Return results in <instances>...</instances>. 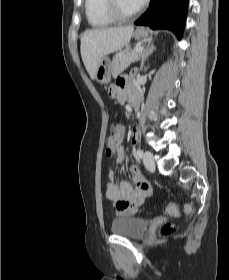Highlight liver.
Masks as SVG:
<instances>
[{"label": "liver", "instance_id": "1", "mask_svg": "<svg viewBox=\"0 0 229 280\" xmlns=\"http://www.w3.org/2000/svg\"><path fill=\"white\" fill-rule=\"evenodd\" d=\"M134 27H114L91 29L81 36L80 52L84 66L94 79L96 69L103 58L126 46L133 34Z\"/></svg>", "mask_w": 229, "mask_h": 280}]
</instances>
